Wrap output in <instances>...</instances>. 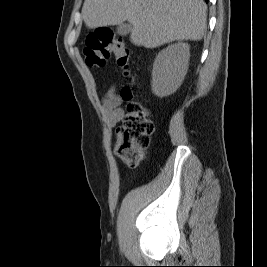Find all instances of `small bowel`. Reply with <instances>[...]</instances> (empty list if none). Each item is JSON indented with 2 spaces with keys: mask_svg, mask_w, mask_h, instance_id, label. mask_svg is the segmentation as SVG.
Instances as JSON below:
<instances>
[{
  "mask_svg": "<svg viewBox=\"0 0 267 267\" xmlns=\"http://www.w3.org/2000/svg\"><path fill=\"white\" fill-rule=\"evenodd\" d=\"M102 109L109 127H114L123 119L125 111L122 107V98L116 93L115 89H109L103 97Z\"/></svg>",
  "mask_w": 267,
  "mask_h": 267,
  "instance_id": "small-bowel-1",
  "label": "small bowel"
}]
</instances>
